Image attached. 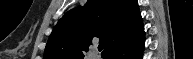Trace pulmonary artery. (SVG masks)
Wrapping results in <instances>:
<instances>
[{"label": "pulmonary artery", "instance_id": "obj_1", "mask_svg": "<svg viewBox=\"0 0 193 59\" xmlns=\"http://www.w3.org/2000/svg\"><path fill=\"white\" fill-rule=\"evenodd\" d=\"M95 57H96V51L93 50L92 55H91V58H95Z\"/></svg>", "mask_w": 193, "mask_h": 59}]
</instances>
